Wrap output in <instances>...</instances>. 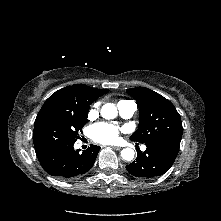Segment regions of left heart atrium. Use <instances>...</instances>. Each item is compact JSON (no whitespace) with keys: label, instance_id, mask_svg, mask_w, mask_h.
I'll use <instances>...</instances> for the list:
<instances>
[{"label":"left heart atrium","instance_id":"left-heart-atrium-1","mask_svg":"<svg viewBox=\"0 0 221 221\" xmlns=\"http://www.w3.org/2000/svg\"><path fill=\"white\" fill-rule=\"evenodd\" d=\"M118 134V128L112 124L98 123L91 128L93 140L104 144L115 142L118 138Z\"/></svg>","mask_w":221,"mask_h":221}]
</instances>
